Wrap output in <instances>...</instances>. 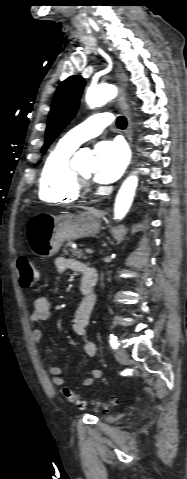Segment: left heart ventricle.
<instances>
[{"mask_svg": "<svg viewBox=\"0 0 187 479\" xmlns=\"http://www.w3.org/2000/svg\"><path fill=\"white\" fill-rule=\"evenodd\" d=\"M79 172L88 177H90L92 174V171L88 169L80 170Z\"/></svg>", "mask_w": 187, "mask_h": 479, "instance_id": "1", "label": "left heart ventricle"}]
</instances>
